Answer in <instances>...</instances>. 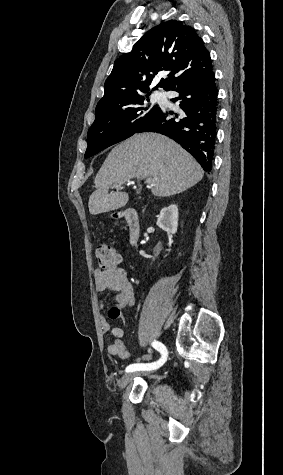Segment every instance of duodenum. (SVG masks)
I'll list each match as a JSON object with an SVG mask.
<instances>
[{
	"label": "duodenum",
	"instance_id": "obj_1",
	"mask_svg": "<svg viewBox=\"0 0 283 475\" xmlns=\"http://www.w3.org/2000/svg\"><path fill=\"white\" fill-rule=\"evenodd\" d=\"M122 217L128 226L129 243L136 245L140 238V220L135 209H127L122 213Z\"/></svg>",
	"mask_w": 283,
	"mask_h": 475
}]
</instances>
